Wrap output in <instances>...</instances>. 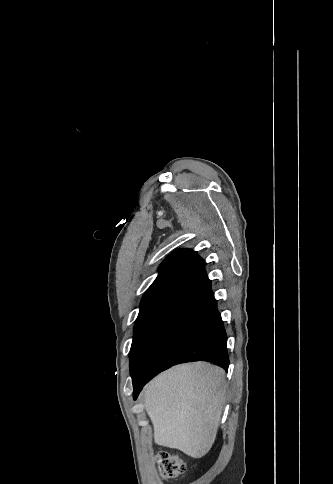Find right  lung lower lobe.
Masks as SVG:
<instances>
[{"instance_id": "right-lung-lower-lobe-1", "label": "right lung lower lobe", "mask_w": 333, "mask_h": 484, "mask_svg": "<svg viewBox=\"0 0 333 484\" xmlns=\"http://www.w3.org/2000/svg\"><path fill=\"white\" fill-rule=\"evenodd\" d=\"M216 305L206 274L157 304L132 373L134 399L155 375L178 363L202 360L228 370L227 336Z\"/></svg>"}]
</instances>
